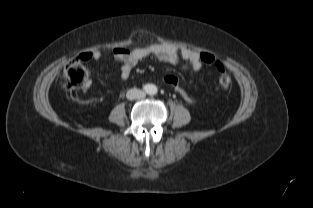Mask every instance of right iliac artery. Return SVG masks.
<instances>
[{"label":"right iliac artery","mask_w":313,"mask_h":208,"mask_svg":"<svg viewBox=\"0 0 313 208\" xmlns=\"http://www.w3.org/2000/svg\"><path fill=\"white\" fill-rule=\"evenodd\" d=\"M143 90H144L145 92H149V91H150V86H149V85L143 86Z\"/></svg>","instance_id":"1"}]
</instances>
